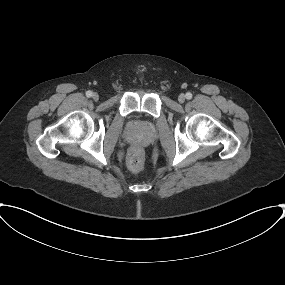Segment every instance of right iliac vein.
I'll return each mask as SVG.
<instances>
[{"label":"right iliac vein","mask_w":285,"mask_h":285,"mask_svg":"<svg viewBox=\"0 0 285 285\" xmlns=\"http://www.w3.org/2000/svg\"><path fill=\"white\" fill-rule=\"evenodd\" d=\"M92 98L94 101H97L99 99V95L97 93H93Z\"/></svg>","instance_id":"1"}]
</instances>
